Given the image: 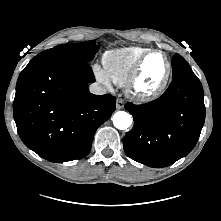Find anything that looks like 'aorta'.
I'll use <instances>...</instances> for the list:
<instances>
[{
	"label": "aorta",
	"mask_w": 221,
	"mask_h": 221,
	"mask_svg": "<svg viewBox=\"0 0 221 221\" xmlns=\"http://www.w3.org/2000/svg\"><path fill=\"white\" fill-rule=\"evenodd\" d=\"M113 124L117 129L126 130L133 122L132 116L125 111H118L113 115Z\"/></svg>",
	"instance_id": "1"
}]
</instances>
